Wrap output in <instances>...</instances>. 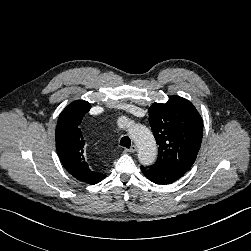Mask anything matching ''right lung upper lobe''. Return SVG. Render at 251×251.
<instances>
[{"label": "right lung upper lobe", "mask_w": 251, "mask_h": 251, "mask_svg": "<svg viewBox=\"0 0 251 251\" xmlns=\"http://www.w3.org/2000/svg\"><path fill=\"white\" fill-rule=\"evenodd\" d=\"M90 103L79 100L69 104L60 114L56 126V149L66 170L76 179L89 184L102 181L106 175L93 171L85 158V140L80 129Z\"/></svg>", "instance_id": "1"}]
</instances>
